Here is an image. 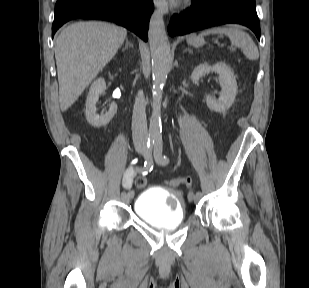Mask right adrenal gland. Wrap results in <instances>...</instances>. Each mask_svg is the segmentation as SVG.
Wrapping results in <instances>:
<instances>
[{
  "mask_svg": "<svg viewBox=\"0 0 309 288\" xmlns=\"http://www.w3.org/2000/svg\"><path fill=\"white\" fill-rule=\"evenodd\" d=\"M129 47H131V48L133 49V44L130 43V42L128 41V39L126 38V44H125V47L122 49V51L127 50Z\"/></svg>",
  "mask_w": 309,
  "mask_h": 288,
  "instance_id": "obj_1",
  "label": "right adrenal gland"
}]
</instances>
